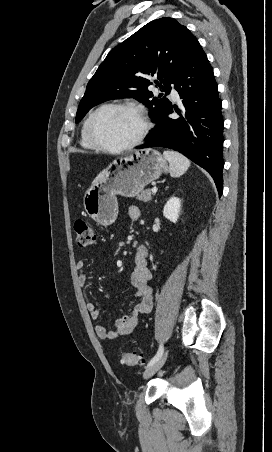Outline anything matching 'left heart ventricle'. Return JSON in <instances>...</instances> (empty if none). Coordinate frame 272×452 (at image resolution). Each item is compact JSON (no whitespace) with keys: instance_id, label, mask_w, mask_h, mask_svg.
<instances>
[{"instance_id":"b2bd125f","label":"left heart ventricle","mask_w":272,"mask_h":452,"mask_svg":"<svg viewBox=\"0 0 272 452\" xmlns=\"http://www.w3.org/2000/svg\"><path fill=\"white\" fill-rule=\"evenodd\" d=\"M141 128L138 118L126 110L107 109L93 123L96 136L105 144L118 147L130 143Z\"/></svg>"}]
</instances>
